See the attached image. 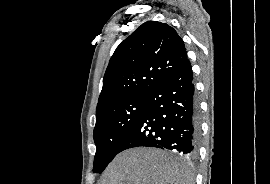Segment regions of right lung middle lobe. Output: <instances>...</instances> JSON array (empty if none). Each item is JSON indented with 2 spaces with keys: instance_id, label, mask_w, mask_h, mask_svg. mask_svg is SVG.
<instances>
[{
  "instance_id": "1",
  "label": "right lung middle lobe",
  "mask_w": 270,
  "mask_h": 184,
  "mask_svg": "<svg viewBox=\"0 0 270 184\" xmlns=\"http://www.w3.org/2000/svg\"><path fill=\"white\" fill-rule=\"evenodd\" d=\"M146 105L147 96H134L102 110L94 128L97 151L93 172H102L118 154L119 147L144 113Z\"/></svg>"
}]
</instances>
